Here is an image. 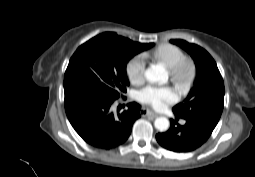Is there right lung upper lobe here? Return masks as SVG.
I'll use <instances>...</instances> for the list:
<instances>
[{
  "label": "right lung upper lobe",
  "instance_id": "obj_1",
  "mask_svg": "<svg viewBox=\"0 0 255 177\" xmlns=\"http://www.w3.org/2000/svg\"><path fill=\"white\" fill-rule=\"evenodd\" d=\"M99 37L114 43H122L127 40V38L118 36L116 33H112V32L102 33L99 35Z\"/></svg>",
  "mask_w": 255,
  "mask_h": 177
}]
</instances>
